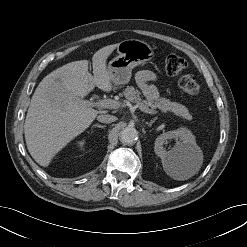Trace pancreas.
Wrapping results in <instances>:
<instances>
[{
  "label": "pancreas",
  "instance_id": "obj_1",
  "mask_svg": "<svg viewBox=\"0 0 247 247\" xmlns=\"http://www.w3.org/2000/svg\"><path fill=\"white\" fill-rule=\"evenodd\" d=\"M140 91L135 89L133 86H127L123 91L124 97L133 102L141 103L151 110L160 109L162 112H172L179 117H183L187 120H191L192 116L189 113L188 109L177 102H171L169 99L164 97H159L155 100H143L140 96Z\"/></svg>",
  "mask_w": 247,
  "mask_h": 247
}]
</instances>
